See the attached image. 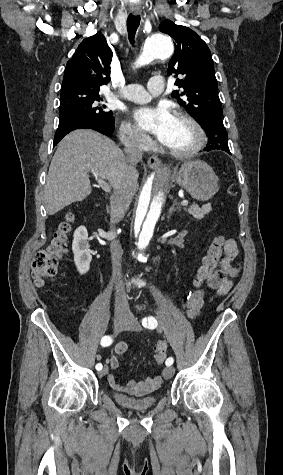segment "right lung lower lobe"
<instances>
[{"label": "right lung lower lobe", "instance_id": "right-lung-lower-lobe-1", "mask_svg": "<svg viewBox=\"0 0 283 475\" xmlns=\"http://www.w3.org/2000/svg\"><path fill=\"white\" fill-rule=\"evenodd\" d=\"M75 129H93L110 136L114 131V122H100L84 114H70L59 118V126L55 133L54 146L69 132Z\"/></svg>", "mask_w": 283, "mask_h": 475}]
</instances>
